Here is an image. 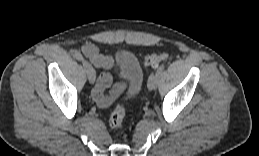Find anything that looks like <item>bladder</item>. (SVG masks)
<instances>
[{
    "label": "bladder",
    "mask_w": 259,
    "mask_h": 156,
    "mask_svg": "<svg viewBox=\"0 0 259 156\" xmlns=\"http://www.w3.org/2000/svg\"><path fill=\"white\" fill-rule=\"evenodd\" d=\"M120 74L128 80L124 98L131 101L138 96L143 82V72L134 55L128 53L124 56L121 61Z\"/></svg>",
    "instance_id": "bladder-1"
}]
</instances>
